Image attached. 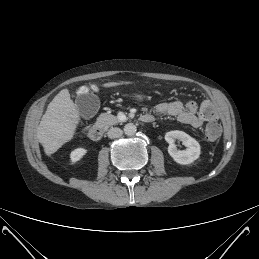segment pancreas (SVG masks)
Segmentation results:
<instances>
[{
	"mask_svg": "<svg viewBox=\"0 0 259 259\" xmlns=\"http://www.w3.org/2000/svg\"><path fill=\"white\" fill-rule=\"evenodd\" d=\"M119 122L120 121L116 116H114L110 113H102L97 118L96 124L100 127L107 129L110 126H113Z\"/></svg>",
	"mask_w": 259,
	"mask_h": 259,
	"instance_id": "cf45deb5",
	"label": "pancreas"
}]
</instances>
